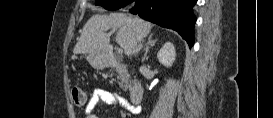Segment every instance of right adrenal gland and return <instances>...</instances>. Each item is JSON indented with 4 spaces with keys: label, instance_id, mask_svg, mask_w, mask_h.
<instances>
[{
    "label": "right adrenal gland",
    "instance_id": "2a0ac1e0",
    "mask_svg": "<svg viewBox=\"0 0 273 118\" xmlns=\"http://www.w3.org/2000/svg\"><path fill=\"white\" fill-rule=\"evenodd\" d=\"M152 36H153V33H151L149 35V39H148V42L146 44L145 54H144V57H143L142 61H144L145 59L146 60L148 59L147 54H148L149 48L154 46L156 41H157V40H152Z\"/></svg>",
    "mask_w": 273,
    "mask_h": 118
}]
</instances>
